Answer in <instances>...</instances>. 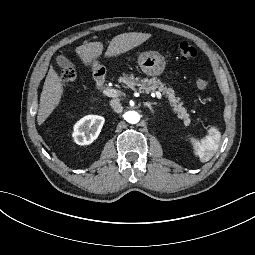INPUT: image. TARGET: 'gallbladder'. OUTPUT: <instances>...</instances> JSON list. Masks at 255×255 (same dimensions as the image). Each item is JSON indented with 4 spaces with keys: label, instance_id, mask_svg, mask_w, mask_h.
I'll return each instance as SVG.
<instances>
[{
    "label": "gallbladder",
    "instance_id": "bac80fb5",
    "mask_svg": "<svg viewBox=\"0 0 255 255\" xmlns=\"http://www.w3.org/2000/svg\"><path fill=\"white\" fill-rule=\"evenodd\" d=\"M56 62L61 68H76L75 65L70 61L65 55H58L56 57Z\"/></svg>",
    "mask_w": 255,
    "mask_h": 255
}]
</instances>
